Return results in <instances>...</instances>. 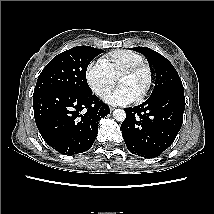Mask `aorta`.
I'll return each instance as SVG.
<instances>
[{
	"label": "aorta",
	"mask_w": 214,
	"mask_h": 214,
	"mask_svg": "<svg viewBox=\"0 0 214 214\" xmlns=\"http://www.w3.org/2000/svg\"><path fill=\"white\" fill-rule=\"evenodd\" d=\"M113 117L116 121L122 122L126 118V113L123 109H115L113 112Z\"/></svg>",
	"instance_id": "762f6f07"
}]
</instances>
